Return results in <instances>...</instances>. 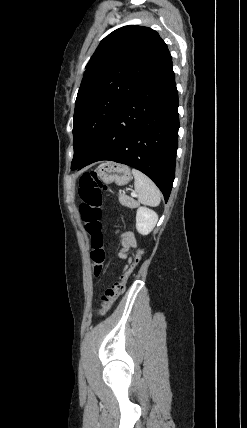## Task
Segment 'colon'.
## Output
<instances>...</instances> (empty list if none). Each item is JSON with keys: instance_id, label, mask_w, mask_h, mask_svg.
Returning <instances> with one entry per match:
<instances>
[{"instance_id": "colon-1", "label": "colon", "mask_w": 247, "mask_h": 428, "mask_svg": "<svg viewBox=\"0 0 247 428\" xmlns=\"http://www.w3.org/2000/svg\"><path fill=\"white\" fill-rule=\"evenodd\" d=\"M107 189V186L100 181L95 173H85L80 177L79 196L82 201L80 212L85 222L86 231L90 235V255L93 262V274L95 277L101 274L107 258L105 239L100 222L103 192ZM141 256L142 251L137 250L129 269L120 280L116 281L111 287L105 290L101 297V305L99 308L100 315L106 314L117 298L124 293L127 281L138 266Z\"/></svg>"}]
</instances>
